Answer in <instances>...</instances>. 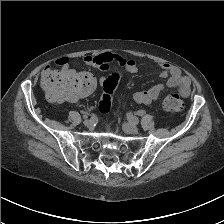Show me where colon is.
I'll return each instance as SVG.
<instances>
[{
  "mask_svg": "<svg viewBox=\"0 0 224 224\" xmlns=\"http://www.w3.org/2000/svg\"><path fill=\"white\" fill-rule=\"evenodd\" d=\"M120 77V73L115 72L105 78L102 83L103 94L99 102V111L102 114H107L111 109L113 93L118 85ZM45 84L53 98L70 101L89 96L96 87L95 78L89 73L74 74L63 78H54L50 76ZM163 107L170 112H180L184 108V102L179 95L171 93L164 98Z\"/></svg>",
  "mask_w": 224,
  "mask_h": 224,
  "instance_id": "1",
  "label": "colon"
}]
</instances>
